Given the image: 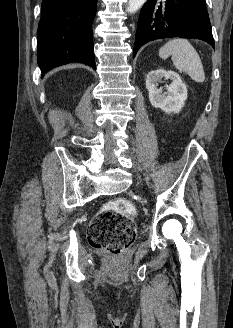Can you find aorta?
<instances>
[{
	"mask_svg": "<svg viewBox=\"0 0 233 328\" xmlns=\"http://www.w3.org/2000/svg\"><path fill=\"white\" fill-rule=\"evenodd\" d=\"M145 2L146 0H129L127 8L128 12H136Z\"/></svg>",
	"mask_w": 233,
	"mask_h": 328,
	"instance_id": "aorta-1",
	"label": "aorta"
}]
</instances>
